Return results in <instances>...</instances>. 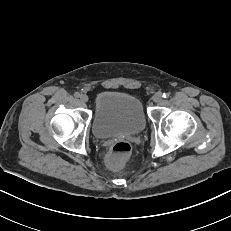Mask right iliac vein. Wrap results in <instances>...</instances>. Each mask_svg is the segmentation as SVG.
<instances>
[{
	"label": "right iliac vein",
	"mask_w": 231,
	"mask_h": 231,
	"mask_svg": "<svg viewBox=\"0 0 231 231\" xmlns=\"http://www.w3.org/2000/svg\"><path fill=\"white\" fill-rule=\"evenodd\" d=\"M80 100L84 103L88 102L89 97L86 94L80 95Z\"/></svg>",
	"instance_id": "right-iliac-vein-1"
}]
</instances>
